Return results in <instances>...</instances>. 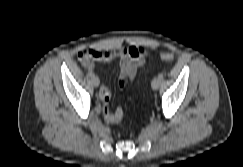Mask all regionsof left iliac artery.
I'll use <instances>...</instances> for the list:
<instances>
[{"instance_id":"44dca946","label":"left iliac artery","mask_w":243,"mask_h":167,"mask_svg":"<svg viewBox=\"0 0 243 167\" xmlns=\"http://www.w3.org/2000/svg\"><path fill=\"white\" fill-rule=\"evenodd\" d=\"M163 77H164V76H163L162 73H160V74L158 75V78H159V79H163Z\"/></svg>"}]
</instances>
